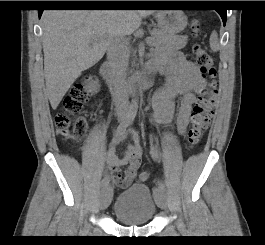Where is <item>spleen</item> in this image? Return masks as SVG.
<instances>
[{"label": "spleen", "instance_id": "3e777b00", "mask_svg": "<svg viewBox=\"0 0 265 245\" xmlns=\"http://www.w3.org/2000/svg\"><path fill=\"white\" fill-rule=\"evenodd\" d=\"M210 47L213 51H217L219 49L218 44V36L216 32H213L210 37Z\"/></svg>", "mask_w": 265, "mask_h": 245}]
</instances>
